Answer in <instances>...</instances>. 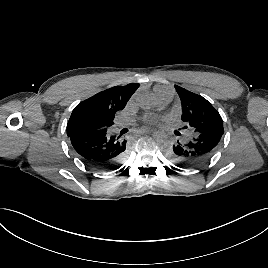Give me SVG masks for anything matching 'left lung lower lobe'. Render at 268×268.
Listing matches in <instances>:
<instances>
[{
    "label": "left lung lower lobe",
    "instance_id": "1",
    "mask_svg": "<svg viewBox=\"0 0 268 268\" xmlns=\"http://www.w3.org/2000/svg\"><path fill=\"white\" fill-rule=\"evenodd\" d=\"M222 135L220 132L193 134L188 141H176L169 148V156L179 166L196 167L211 159Z\"/></svg>",
    "mask_w": 268,
    "mask_h": 268
}]
</instances>
